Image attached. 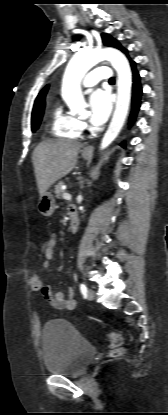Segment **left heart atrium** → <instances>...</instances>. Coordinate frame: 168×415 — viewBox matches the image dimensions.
I'll return each instance as SVG.
<instances>
[{"instance_id": "39dd6f15", "label": "left heart atrium", "mask_w": 168, "mask_h": 415, "mask_svg": "<svg viewBox=\"0 0 168 415\" xmlns=\"http://www.w3.org/2000/svg\"><path fill=\"white\" fill-rule=\"evenodd\" d=\"M90 121L95 126L103 125L112 109L110 94L102 89L95 90L90 96Z\"/></svg>"}]
</instances>
